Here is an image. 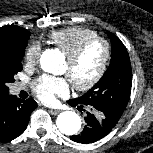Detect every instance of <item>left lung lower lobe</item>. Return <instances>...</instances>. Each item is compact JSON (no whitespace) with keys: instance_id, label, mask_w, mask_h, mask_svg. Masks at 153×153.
Here are the masks:
<instances>
[{"instance_id":"obj_1","label":"left lung lower lobe","mask_w":153,"mask_h":153,"mask_svg":"<svg viewBox=\"0 0 153 153\" xmlns=\"http://www.w3.org/2000/svg\"><path fill=\"white\" fill-rule=\"evenodd\" d=\"M68 103L73 107L78 106L79 109L86 106L73 99L69 100ZM85 122L86 126L83 131L78 135L70 137L72 141L82 144L94 143L106 136L117 123L92 107H89Z\"/></svg>"}]
</instances>
